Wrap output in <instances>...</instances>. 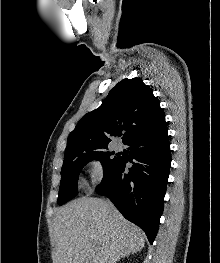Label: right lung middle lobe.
Segmentation results:
<instances>
[{
  "mask_svg": "<svg viewBox=\"0 0 220 263\" xmlns=\"http://www.w3.org/2000/svg\"><path fill=\"white\" fill-rule=\"evenodd\" d=\"M108 148L86 151L70 152L64 156L61 169V182L58 196V204L62 205L77 195V180L82 167L91 160H98L104 168V175L118 162L120 157H112L114 152Z\"/></svg>",
  "mask_w": 220,
  "mask_h": 263,
  "instance_id": "right-lung-middle-lobe-1",
  "label": "right lung middle lobe"
}]
</instances>
